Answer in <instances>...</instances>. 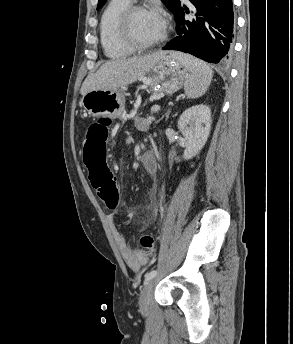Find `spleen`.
I'll return each instance as SVG.
<instances>
[{
	"label": "spleen",
	"instance_id": "1",
	"mask_svg": "<svg viewBox=\"0 0 293 344\" xmlns=\"http://www.w3.org/2000/svg\"><path fill=\"white\" fill-rule=\"evenodd\" d=\"M191 72L185 81L184 90L189 98L202 96L211 84L213 71L203 61L182 53H171Z\"/></svg>",
	"mask_w": 293,
	"mask_h": 344
}]
</instances>
